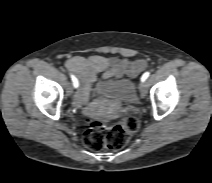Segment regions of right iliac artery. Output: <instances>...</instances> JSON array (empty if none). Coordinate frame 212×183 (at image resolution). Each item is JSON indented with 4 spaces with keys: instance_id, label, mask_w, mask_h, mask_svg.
Segmentation results:
<instances>
[{
    "instance_id": "right-iliac-artery-1",
    "label": "right iliac artery",
    "mask_w": 212,
    "mask_h": 183,
    "mask_svg": "<svg viewBox=\"0 0 212 183\" xmlns=\"http://www.w3.org/2000/svg\"><path fill=\"white\" fill-rule=\"evenodd\" d=\"M71 79H72L74 87L77 88L79 86V82L77 78L74 75H71Z\"/></svg>"
}]
</instances>
